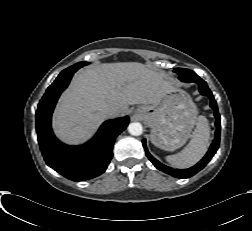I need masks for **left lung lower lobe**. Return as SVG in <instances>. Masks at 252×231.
<instances>
[{"instance_id": "left-lung-lower-lobe-1", "label": "left lung lower lobe", "mask_w": 252, "mask_h": 231, "mask_svg": "<svg viewBox=\"0 0 252 231\" xmlns=\"http://www.w3.org/2000/svg\"><path fill=\"white\" fill-rule=\"evenodd\" d=\"M185 82H196L199 85V91L202 95L208 96L210 98V107L214 110V116L216 118V132H215V139L213 140V143L210 146V149L206 153V155L203 157V159L198 162L195 166L188 168V169H172L168 166L163 165L160 163L158 160L153 158L151 154L148 152L147 147H146V140L144 139L142 141V144L144 146L145 152L147 157L150 159V161L154 164V166L167 173L170 174L174 177L177 178H188L202 170L206 164L211 160V158L214 156L216 153L218 147H219V141H220V115L218 112L217 104L216 101L212 95L211 90L208 88L206 82L201 79L198 75H194L193 77L189 76L188 78L185 79Z\"/></svg>"}]
</instances>
